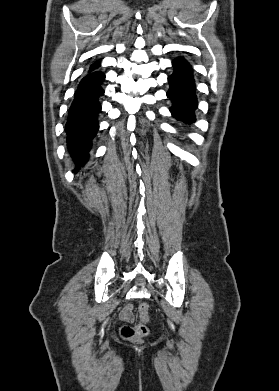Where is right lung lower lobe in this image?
<instances>
[{
	"mask_svg": "<svg viewBox=\"0 0 279 391\" xmlns=\"http://www.w3.org/2000/svg\"><path fill=\"white\" fill-rule=\"evenodd\" d=\"M104 79L105 75L101 72L85 76L69 109L65 125L67 147L78 166L87 161L91 140L99 129L97 118L101 105L98 98L104 93L100 86Z\"/></svg>",
	"mask_w": 279,
	"mask_h": 391,
	"instance_id": "obj_1",
	"label": "right lung lower lobe"
}]
</instances>
